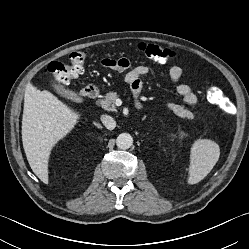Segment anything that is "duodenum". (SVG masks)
I'll return each mask as SVG.
<instances>
[{"label":"duodenum","mask_w":249,"mask_h":249,"mask_svg":"<svg viewBox=\"0 0 249 249\" xmlns=\"http://www.w3.org/2000/svg\"><path fill=\"white\" fill-rule=\"evenodd\" d=\"M99 95V89L95 85H88L81 90V96L84 99H95ZM136 106L140 107V103L136 102Z\"/></svg>","instance_id":"duodenum-1"}]
</instances>
